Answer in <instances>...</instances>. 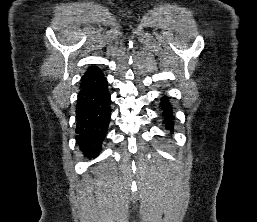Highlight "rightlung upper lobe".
I'll return each instance as SVG.
<instances>
[{"label":"right lung upper lobe","instance_id":"obj_1","mask_svg":"<svg viewBox=\"0 0 257 222\" xmlns=\"http://www.w3.org/2000/svg\"><path fill=\"white\" fill-rule=\"evenodd\" d=\"M102 74L103 72L97 66L89 67L81 79V85L94 81Z\"/></svg>","mask_w":257,"mask_h":222}]
</instances>
